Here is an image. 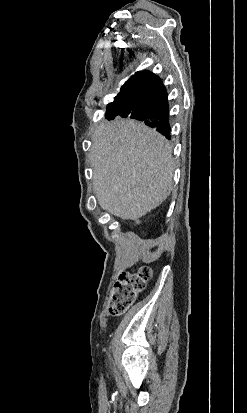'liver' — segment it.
Returning a JSON list of instances; mask_svg holds the SVG:
<instances>
[{
  "instance_id": "obj_1",
  "label": "liver",
  "mask_w": 247,
  "mask_h": 413,
  "mask_svg": "<svg viewBox=\"0 0 247 413\" xmlns=\"http://www.w3.org/2000/svg\"><path fill=\"white\" fill-rule=\"evenodd\" d=\"M90 162L101 209L138 221L173 188L172 146L160 132L134 118L104 122L92 136Z\"/></svg>"
}]
</instances>
